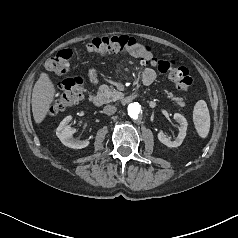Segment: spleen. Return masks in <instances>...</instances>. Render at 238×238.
<instances>
[{
    "mask_svg": "<svg viewBox=\"0 0 238 238\" xmlns=\"http://www.w3.org/2000/svg\"><path fill=\"white\" fill-rule=\"evenodd\" d=\"M193 122L198 135L206 138L210 130V114L204 100H199L194 106Z\"/></svg>",
    "mask_w": 238,
    "mask_h": 238,
    "instance_id": "obj_1",
    "label": "spleen"
}]
</instances>
